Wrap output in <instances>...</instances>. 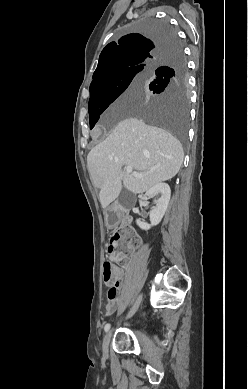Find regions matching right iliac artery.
I'll use <instances>...</instances> for the list:
<instances>
[{
    "label": "right iliac artery",
    "instance_id": "1",
    "mask_svg": "<svg viewBox=\"0 0 248 389\" xmlns=\"http://www.w3.org/2000/svg\"><path fill=\"white\" fill-rule=\"evenodd\" d=\"M109 329H110V324L108 323L105 325L104 330H105V332H107Z\"/></svg>",
    "mask_w": 248,
    "mask_h": 389
}]
</instances>
